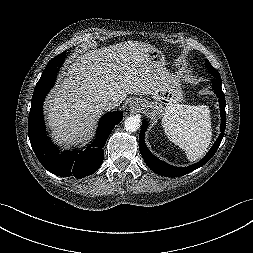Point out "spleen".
I'll return each mask as SVG.
<instances>
[{
	"label": "spleen",
	"mask_w": 253,
	"mask_h": 253,
	"mask_svg": "<svg viewBox=\"0 0 253 253\" xmlns=\"http://www.w3.org/2000/svg\"><path fill=\"white\" fill-rule=\"evenodd\" d=\"M162 121L169 140L185 151L190 162L205 154L212 139L208 106L176 105Z\"/></svg>",
	"instance_id": "3e777b00"
}]
</instances>
